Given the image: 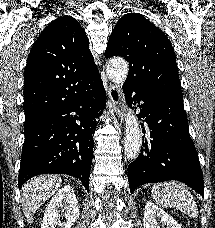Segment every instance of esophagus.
<instances>
[{
	"mask_svg": "<svg viewBox=\"0 0 215 228\" xmlns=\"http://www.w3.org/2000/svg\"><path fill=\"white\" fill-rule=\"evenodd\" d=\"M108 97L112 103L113 110L122 123L125 113L124 95L118 85L111 84L108 87Z\"/></svg>",
	"mask_w": 215,
	"mask_h": 228,
	"instance_id": "1",
	"label": "esophagus"
}]
</instances>
